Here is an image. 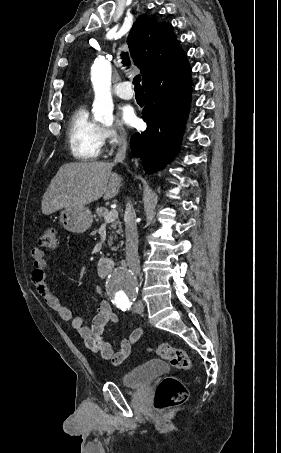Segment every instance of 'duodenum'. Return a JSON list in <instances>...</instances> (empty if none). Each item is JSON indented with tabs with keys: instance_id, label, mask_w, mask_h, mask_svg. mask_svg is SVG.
<instances>
[{
	"instance_id": "obj_1",
	"label": "duodenum",
	"mask_w": 281,
	"mask_h": 453,
	"mask_svg": "<svg viewBox=\"0 0 281 453\" xmlns=\"http://www.w3.org/2000/svg\"><path fill=\"white\" fill-rule=\"evenodd\" d=\"M114 268V261L108 257H102L97 263V270L101 277H106Z\"/></svg>"
}]
</instances>
